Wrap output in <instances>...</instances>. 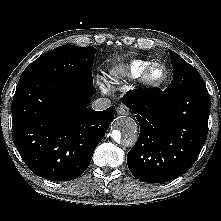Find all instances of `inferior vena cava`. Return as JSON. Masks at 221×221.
Listing matches in <instances>:
<instances>
[{"label":"inferior vena cava","instance_id":"602c4592","mask_svg":"<svg viewBox=\"0 0 221 221\" xmlns=\"http://www.w3.org/2000/svg\"><path fill=\"white\" fill-rule=\"evenodd\" d=\"M111 106V101L108 98H98L92 102L91 108L95 111H102Z\"/></svg>","mask_w":221,"mask_h":221}]
</instances>
